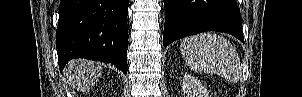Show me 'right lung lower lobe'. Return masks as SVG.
I'll return each instance as SVG.
<instances>
[{
	"instance_id": "98d812e1",
	"label": "right lung lower lobe",
	"mask_w": 302,
	"mask_h": 97,
	"mask_svg": "<svg viewBox=\"0 0 302 97\" xmlns=\"http://www.w3.org/2000/svg\"><path fill=\"white\" fill-rule=\"evenodd\" d=\"M128 0H61L56 31L60 70L74 58L114 64L127 73Z\"/></svg>"
}]
</instances>
